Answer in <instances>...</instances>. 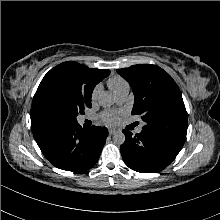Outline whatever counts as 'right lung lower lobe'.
<instances>
[{
  "label": "right lung lower lobe",
  "instance_id": "right-lung-lower-lobe-1",
  "mask_svg": "<svg viewBox=\"0 0 220 220\" xmlns=\"http://www.w3.org/2000/svg\"><path fill=\"white\" fill-rule=\"evenodd\" d=\"M34 138L46 159L55 167L81 172L99 159L108 136L105 127L82 128L76 123L40 120L31 123Z\"/></svg>",
  "mask_w": 220,
  "mask_h": 220
}]
</instances>
